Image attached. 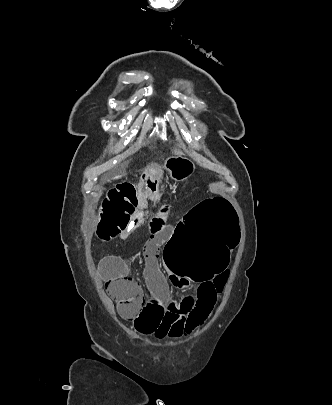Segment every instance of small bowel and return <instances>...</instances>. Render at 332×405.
Returning a JSON list of instances; mask_svg holds the SVG:
<instances>
[{
  "label": "small bowel",
  "instance_id": "c3829d8e",
  "mask_svg": "<svg viewBox=\"0 0 332 405\" xmlns=\"http://www.w3.org/2000/svg\"><path fill=\"white\" fill-rule=\"evenodd\" d=\"M159 164H146L141 171L136 197L138 206L130 228L121 234L125 239L131 229L148 217V204L153 202L157 209L149 224L150 237L144 245L146 257L145 279L150 296L142 301V311H137L134 328L142 336L156 339H176L189 334L200 326L211 313L216 295L211 281H203L199 288L181 300L175 301L170 296V285L180 290H187L190 281H184L183 275H172L168 280L159 269L158 252L160 247L171 240L173 229L168 222L170 206L161 203L158 195L159 179L163 177ZM100 186L108 185V178L103 173L96 174ZM229 258V257H228ZM99 272L106 279H115L128 273L129 263L119 255L111 254L99 262Z\"/></svg>",
  "mask_w": 332,
  "mask_h": 405
}]
</instances>
